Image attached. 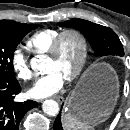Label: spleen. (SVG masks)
<instances>
[{"label":"spleen","instance_id":"3e777b00","mask_svg":"<svg viewBox=\"0 0 130 130\" xmlns=\"http://www.w3.org/2000/svg\"><path fill=\"white\" fill-rule=\"evenodd\" d=\"M64 130H93V127L78 120L77 118L66 114L64 116Z\"/></svg>","mask_w":130,"mask_h":130}]
</instances>
